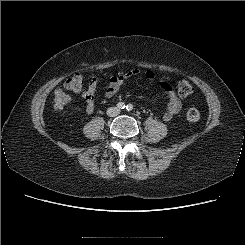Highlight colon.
I'll return each instance as SVG.
<instances>
[{
  "label": "colon",
  "mask_w": 245,
  "mask_h": 245,
  "mask_svg": "<svg viewBox=\"0 0 245 245\" xmlns=\"http://www.w3.org/2000/svg\"><path fill=\"white\" fill-rule=\"evenodd\" d=\"M65 89L73 92H80L84 87L83 77L79 74H75L68 78L64 84ZM193 86L187 81H181L178 84V94L186 97L192 94ZM71 101L70 95L63 89L59 88L56 90L53 98V107L56 111L64 109ZM186 119L189 122H197L200 119V112L191 108L186 112Z\"/></svg>",
  "instance_id": "1"
}]
</instances>
